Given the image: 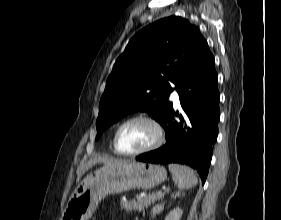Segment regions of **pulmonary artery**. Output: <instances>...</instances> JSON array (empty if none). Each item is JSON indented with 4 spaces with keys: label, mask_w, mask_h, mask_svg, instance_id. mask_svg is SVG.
Here are the masks:
<instances>
[{
    "label": "pulmonary artery",
    "mask_w": 281,
    "mask_h": 220,
    "mask_svg": "<svg viewBox=\"0 0 281 220\" xmlns=\"http://www.w3.org/2000/svg\"><path fill=\"white\" fill-rule=\"evenodd\" d=\"M170 98L173 101L175 107H179L180 106V100H179V95H178L177 91H173L171 93Z\"/></svg>",
    "instance_id": "1"
}]
</instances>
